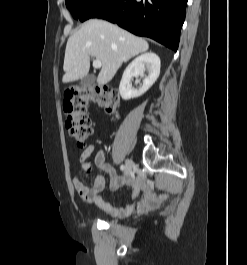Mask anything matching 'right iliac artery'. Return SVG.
<instances>
[{
	"label": "right iliac artery",
	"mask_w": 247,
	"mask_h": 265,
	"mask_svg": "<svg viewBox=\"0 0 247 265\" xmlns=\"http://www.w3.org/2000/svg\"><path fill=\"white\" fill-rule=\"evenodd\" d=\"M120 169L123 171V170H125V166L124 165H121L120 166Z\"/></svg>",
	"instance_id": "right-iliac-artery-1"
}]
</instances>
